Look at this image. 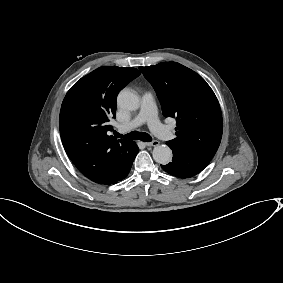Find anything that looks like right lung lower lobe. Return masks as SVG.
Masks as SVG:
<instances>
[{
  "label": "right lung lower lobe",
  "mask_w": 283,
  "mask_h": 283,
  "mask_svg": "<svg viewBox=\"0 0 283 283\" xmlns=\"http://www.w3.org/2000/svg\"><path fill=\"white\" fill-rule=\"evenodd\" d=\"M138 151H139V149H138V147H137L136 155H137ZM134 159H135V158H134ZM133 161H134V160H133ZM132 163H133V162H132ZM132 163H131L127 168H125V169L123 170V172L120 173L114 180H112L111 182L106 183V185L115 184L117 181H120V180L124 179V178L128 175V173H129V171H130V169H131Z\"/></svg>",
  "instance_id": "1"
}]
</instances>
